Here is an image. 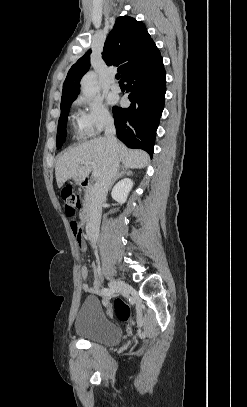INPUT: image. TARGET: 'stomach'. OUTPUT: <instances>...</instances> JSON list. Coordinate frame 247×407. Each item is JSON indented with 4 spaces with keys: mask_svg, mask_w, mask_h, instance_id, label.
<instances>
[{
    "mask_svg": "<svg viewBox=\"0 0 247 407\" xmlns=\"http://www.w3.org/2000/svg\"><path fill=\"white\" fill-rule=\"evenodd\" d=\"M74 181H75L76 184L79 185V184H81L82 179H80V178H75Z\"/></svg>",
    "mask_w": 247,
    "mask_h": 407,
    "instance_id": "1",
    "label": "stomach"
}]
</instances>
